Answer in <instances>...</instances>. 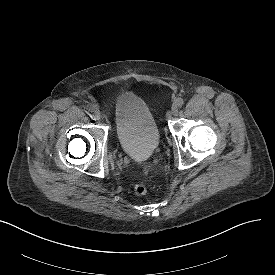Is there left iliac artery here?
<instances>
[{"mask_svg": "<svg viewBox=\"0 0 275 275\" xmlns=\"http://www.w3.org/2000/svg\"><path fill=\"white\" fill-rule=\"evenodd\" d=\"M179 107H181L184 104V101L182 98H177L175 102Z\"/></svg>", "mask_w": 275, "mask_h": 275, "instance_id": "1", "label": "left iliac artery"}]
</instances>
